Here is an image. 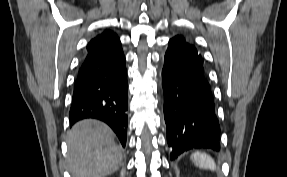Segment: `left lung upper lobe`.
I'll return each mask as SVG.
<instances>
[{"label":"left lung upper lobe","mask_w":287,"mask_h":177,"mask_svg":"<svg viewBox=\"0 0 287 177\" xmlns=\"http://www.w3.org/2000/svg\"><path fill=\"white\" fill-rule=\"evenodd\" d=\"M177 41L188 53L193 55L194 57L199 58L200 62H203L201 54L197 51L196 47L190 43H188L183 36H176L173 38Z\"/></svg>","instance_id":"5c2ea615"}]
</instances>
